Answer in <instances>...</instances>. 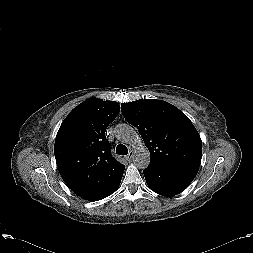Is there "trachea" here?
Masks as SVG:
<instances>
[{"label": "trachea", "instance_id": "1", "mask_svg": "<svg viewBox=\"0 0 253 253\" xmlns=\"http://www.w3.org/2000/svg\"><path fill=\"white\" fill-rule=\"evenodd\" d=\"M116 154L118 155H127L128 154V149L125 145L119 144L116 147Z\"/></svg>", "mask_w": 253, "mask_h": 253}]
</instances>
